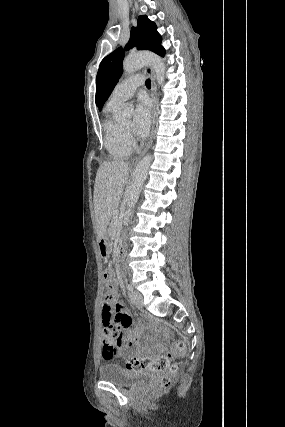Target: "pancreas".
Here are the masks:
<instances>
[{
    "mask_svg": "<svg viewBox=\"0 0 285 427\" xmlns=\"http://www.w3.org/2000/svg\"><path fill=\"white\" fill-rule=\"evenodd\" d=\"M116 222H117V216H116V214L113 213L112 226H111V229H110L111 234H113V231L116 228Z\"/></svg>",
    "mask_w": 285,
    "mask_h": 427,
    "instance_id": "1",
    "label": "pancreas"
}]
</instances>
